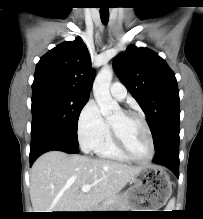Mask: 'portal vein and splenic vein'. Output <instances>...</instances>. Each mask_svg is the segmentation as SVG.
Listing matches in <instances>:
<instances>
[{
    "label": "portal vein and splenic vein",
    "instance_id": "portal-vein-and-splenic-vein-1",
    "mask_svg": "<svg viewBox=\"0 0 203 219\" xmlns=\"http://www.w3.org/2000/svg\"><path fill=\"white\" fill-rule=\"evenodd\" d=\"M93 186H94V184H92V185L85 184V185H83V186L81 187V190H82V192L87 193V192L90 191V189H91Z\"/></svg>",
    "mask_w": 203,
    "mask_h": 219
}]
</instances>
